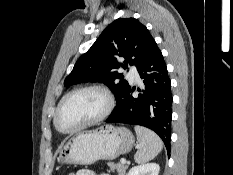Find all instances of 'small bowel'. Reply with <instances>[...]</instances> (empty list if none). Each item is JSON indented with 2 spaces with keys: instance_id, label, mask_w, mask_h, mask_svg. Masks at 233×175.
I'll list each match as a JSON object with an SVG mask.
<instances>
[{
  "instance_id": "small-bowel-1",
  "label": "small bowel",
  "mask_w": 233,
  "mask_h": 175,
  "mask_svg": "<svg viewBox=\"0 0 233 175\" xmlns=\"http://www.w3.org/2000/svg\"><path fill=\"white\" fill-rule=\"evenodd\" d=\"M70 175H97V174L90 169H80L75 173H71Z\"/></svg>"
}]
</instances>
